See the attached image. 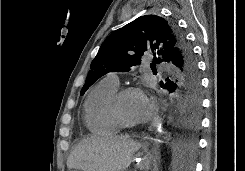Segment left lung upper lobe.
<instances>
[{"instance_id":"left-lung-upper-lobe-1","label":"left lung upper lobe","mask_w":245,"mask_h":171,"mask_svg":"<svg viewBox=\"0 0 245 171\" xmlns=\"http://www.w3.org/2000/svg\"><path fill=\"white\" fill-rule=\"evenodd\" d=\"M189 45L173 21L158 15H144L114 31L101 45L90 65L85 84L86 90L109 72L129 71L141 63V56L153 52L151 68L161 62H171L176 51Z\"/></svg>"}]
</instances>
